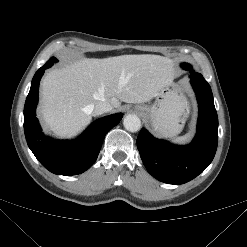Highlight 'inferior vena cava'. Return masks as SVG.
<instances>
[{"mask_svg":"<svg viewBox=\"0 0 247 247\" xmlns=\"http://www.w3.org/2000/svg\"><path fill=\"white\" fill-rule=\"evenodd\" d=\"M113 109V106L108 102H96L93 105L88 106V110L94 115H101L103 113L109 112Z\"/></svg>","mask_w":247,"mask_h":247,"instance_id":"1","label":"inferior vena cava"}]
</instances>
